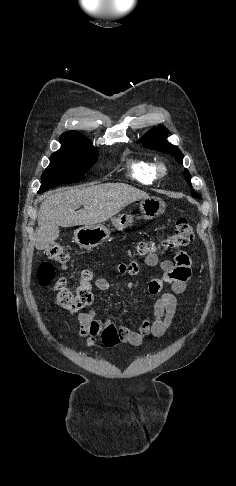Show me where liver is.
<instances>
[{
  "instance_id": "obj_1",
  "label": "liver",
  "mask_w": 236,
  "mask_h": 486,
  "mask_svg": "<svg viewBox=\"0 0 236 486\" xmlns=\"http://www.w3.org/2000/svg\"><path fill=\"white\" fill-rule=\"evenodd\" d=\"M148 198L150 196L144 191L123 183L51 191L38 211L37 243L42 241V231L50 224L62 227L100 224L127 205ZM79 206L83 208L75 211Z\"/></svg>"
}]
</instances>
